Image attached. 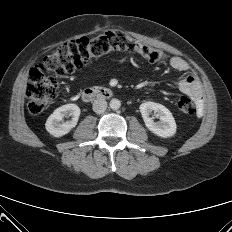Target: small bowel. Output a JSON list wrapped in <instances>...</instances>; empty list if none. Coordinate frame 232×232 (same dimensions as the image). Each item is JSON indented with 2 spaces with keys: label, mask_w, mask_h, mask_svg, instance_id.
<instances>
[{
  "label": "small bowel",
  "mask_w": 232,
  "mask_h": 232,
  "mask_svg": "<svg viewBox=\"0 0 232 232\" xmlns=\"http://www.w3.org/2000/svg\"><path fill=\"white\" fill-rule=\"evenodd\" d=\"M170 66L177 71L187 72L191 71V67L186 60L181 57L174 56L170 59ZM179 90L188 96H190L197 104L198 111L203 108V95L201 86L196 77L189 73L185 77L178 81Z\"/></svg>",
  "instance_id": "c3829d8e"
}]
</instances>
